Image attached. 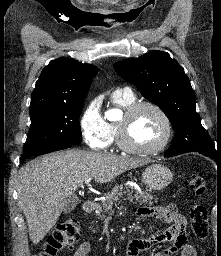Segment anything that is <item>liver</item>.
Wrapping results in <instances>:
<instances>
[{
    "label": "liver",
    "mask_w": 221,
    "mask_h": 256,
    "mask_svg": "<svg viewBox=\"0 0 221 256\" xmlns=\"http://www.w3.org/2000/svg\"><path fill=\"white\" fill-rule=\"evenodd\" d=\"M147 159L120 157L70 149L31 160L18 174L17 192L30 239L39 243L56 224L70 197L88 178L107 183L127 170L150 163Z\"/></svg>",
    "instance_id": "obj_1"
}]
</instances>
